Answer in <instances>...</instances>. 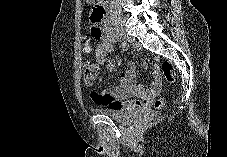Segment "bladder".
<instances>
[{
	"label": "bladder",
	"mask_w": 227,
	"mask_h": 157,
	"mask_svg": "<svg viewBox=\"0 0 227 157\" xmlns=\"http://www.w3.org/2000/svg\"><path fill=\"white\" fill-rule=\"evenodd\" d=\"M95 111L117 122H129L138 117L141 113L137 109H113L109 107L97 108Z\"/></svg>",
	"instance_id": "1"
}]
</instances>
